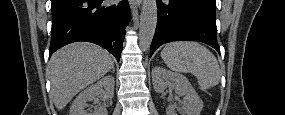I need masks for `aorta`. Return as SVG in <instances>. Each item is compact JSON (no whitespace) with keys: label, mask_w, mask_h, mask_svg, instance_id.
<instances>
[{"label":"aorta","mask_w":285,"mask_h":115,"mask_svg":"<svg viewBox=\"0 0 285 115\" xmlns=\"http://www.w3.org/2000/svg\"><path fill=\"white\" fill-rule=\"evenodd\" d=\"M157 25V2L156 0H143L140 14L139 44L145 51L151 45Z\"/></svg>","instance_id":"aorta-1"}]
</instances>
